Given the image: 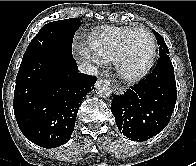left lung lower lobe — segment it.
<instances>
[{
	"label": "left lung lower lobe",
	"mask_w": 196,
	"mask_h": 166,
	"mask_svg": "<svg viewBox=\"0 0 196 166\" xmlns=\"http://www.w3.org/2000/svg\"><path fill=\"white\" fill-rule=\"evenodd\" d=\"M177 100L174 68L168 54L152 73L123 95L113 97L111 111L118 129L134 141H145L164 129Z\"/></svg>",
	"instance_id": "obj_1"
}]
</instances>
